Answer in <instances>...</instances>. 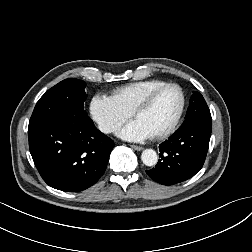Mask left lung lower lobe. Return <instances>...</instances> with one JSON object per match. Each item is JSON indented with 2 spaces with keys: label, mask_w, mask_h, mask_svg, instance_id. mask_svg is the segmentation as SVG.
<instances>
[{
  "label": "left lung lower lobe",
  "mask_w": 252,
  "mask_h": 252,
  "mask_svg": "<svg viewBox=\"0 0 252 252\" xmlns=\"http://www.w3.org/2000/svg\"><path fill=\"white\" fill-rule=\"evenodd\" d=\"M212 124L197 121L181 126L159 145L155 168L146 173L156 182L173 185L193 177L203 166L211 136Z\"/></svg>",
  "instance_id": "0a47b994"
}]
</instances>
